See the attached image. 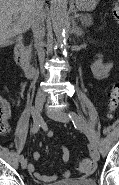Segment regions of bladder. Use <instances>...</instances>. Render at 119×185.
Here are the masks:
<instances>
[{
	"label": "bladder",
	"mask_w": 119,
	"mask_h": 185,
	"mask_svg": "<svg viewBox=\"0 0 119 185\" xmlns=\"http://www.w3.org/2000/svg\"><path fill=\"white\" fill-rule=\"evenodd\" d=\"M47 185H96V182L93 179L71 178L57 181L55 183H50Z\"/></svg>",
	"instance_id": "bladder-1"
}]
</instances>
